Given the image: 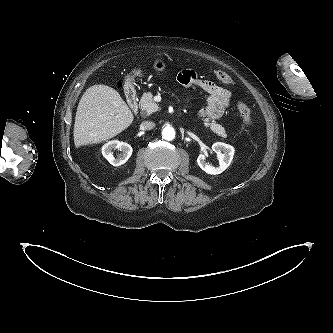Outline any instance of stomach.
<instances>
[{"mask_svg":"<svg viewBox=\"0 0 333 333\" xmlns=\"http://www.w3.org/2000/svg\"><path fill=\"white\" fill-rule=\"evenodd\" d=\"M153 69L157 73L163 72L166 69V64L164 61L157 59L153 63ZM141 76H143V71L140 68H135L132 71L131 78H128V79H133L134 77H141Z\"/></svg>","mask_w":333,"mask_h":333,"instance_id":"1","label":"stomach"}]
</instances>
